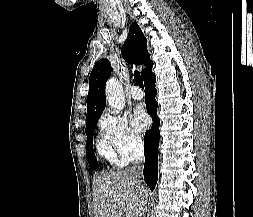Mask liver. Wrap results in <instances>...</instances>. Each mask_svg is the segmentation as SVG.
Instances as JSON below:
<instances>
[{"label":"liver","instance_id":"6515ba94","mask_svg":"<svg viewBox=\"0 0 253 217\" xmlns=\"http://www.w3.org/2000/svg\"><path fill=\"white\" fill-rule=\"evenodd\" d=\"M133 179L126 170L95 176L92 189L94 217H139Z\"/></svg>","mask_w":253,"mask_h":217}]
</instances>
